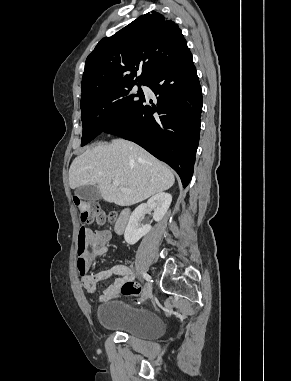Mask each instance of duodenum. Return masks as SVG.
Instances as JSON below:
<instances>
[{"instance_id": "410a0bca", "label": "duodenum", "mask_w": 291, "mask_h": 381, "mask_svg": "<svg viewBox=\"0 0 291 381\" xmlns=\"http://www.w3.org/2000/svg\"><path fill=\"white\" fill-rule=\"evenodd\" d=\"M129 217H130V210L129 209H123L120 212V214H119V216L115 222V232L116 233L121 234L124 232L126 225L128 223Z\"/></svg>"}]
</instances>
